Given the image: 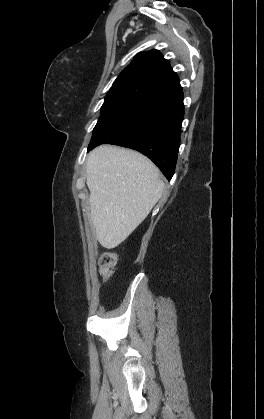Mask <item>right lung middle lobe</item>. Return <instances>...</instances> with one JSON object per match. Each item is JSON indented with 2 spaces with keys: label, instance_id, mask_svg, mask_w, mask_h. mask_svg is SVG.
Wrapping results in <instances>:
<instances>
[{
  "label": "right lung middle lobe",
  "instance_id": "right-lung-middle-lobe-1",
  "mask_svg": "<svg viewBox=\"0 0 264 419\" xmlns=\"http://www.w3.org/2000/svg\"><path fill=\"white\" fill-rule=\"evenodd\" d=\"M151 98L149 94L129 87H113L105 97L88 151L102 144L125 126L141 105Z\"/></svg>",
  "mask_w": 264,
  "mask_h": 419
}]
</instances>
